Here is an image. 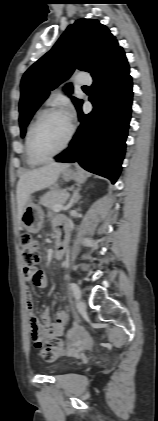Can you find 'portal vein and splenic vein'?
Returning <instances> with one entry per match:
<instances>
[{
    "instance_id": "18ae733b",
    "label": "portal vein and splenic vein",
    "mask_w": 158,
    "mask_h": 421,
    "mask_svg": "<svg viewBox=\"0 0 158 421\" xmlns=\"http://www.w3.org/2000/svg\"><path fill=\"white\" fill-rule=\"evenodd\" d=\"M70 207V205H59V206H57L55 209H54V211L55 212H58V211H60V210H66V209H68Z\"/></svg>"
}]
</instances>
